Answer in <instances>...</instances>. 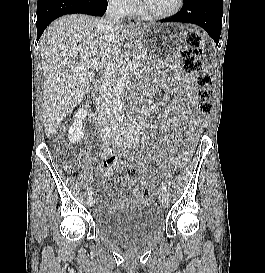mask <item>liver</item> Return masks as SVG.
<instances>
[{"instance_id": "1", "label": "liver", "mask_w": 265, "mask_h": 273, "mask_svg": "<svg viewBox=\"0 0 265 273\" xmlns=\"http://www.w3.org/2000/svg\"><path fill=\"white\" fill-rule=\"evenodd\" d=\"M99 21L87 15H66L55 20L41 37L44 71L42 113L49 138L82 102L94 80V73L88 69L74 72L72 68L91 59H99L107 67L118 58L128 33L126 27L119 26L114 37L106 41L98 26Z\"/></svg>"}]
</instances>
